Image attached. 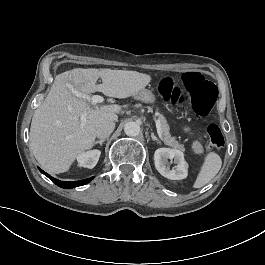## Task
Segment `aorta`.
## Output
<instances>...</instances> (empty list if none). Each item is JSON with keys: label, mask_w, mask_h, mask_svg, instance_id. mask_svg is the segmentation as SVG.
I'll use <instances>...</instances> for the list:
<instances>
[{"label": "aorta", "mask_w": 265, "mask_h": 265, "mask_svg": "<svg viewBox=\"0 0 265 265\" xmlns=\"http://www.w3.org/2000/svg\"><path fill=\"white\" fill-rule=\"evenodd\" d=\"M124 132L128 136H137L140 133V125L136 122H127L124 125Z\"/></svg>", "instance_id": "762f6f07"}]
</instances>
